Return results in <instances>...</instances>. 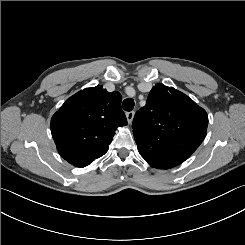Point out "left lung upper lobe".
I'll return each mask as SVG.
<instances>
[{
  "mask_svg": "<svg viewBox=\"0 0 245 245\" xmlns=\"http://www.w3.org/2000/svg\"><path fill=\"white\" fill-rule=\"evenodd\" d=\"M208 115L184 93L156 84L133 119V135L142 157L159 153L188 159L206 136Z\"/></svg>",
  "mask_w": 245,
  "mask_h": 245,
  "instance_id": "left-lung-upper-lobe-1",
  "label": "left lung upper lobe"
}]
</instances>
